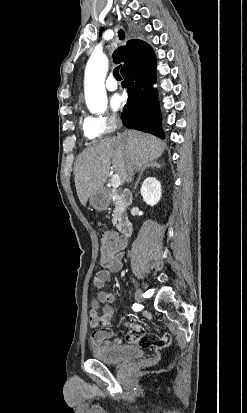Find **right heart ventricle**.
<instances>
[{
	"label": "right heart ventricle",
	"mask_w": 247,
	"mask_h": 413,
	"mask_svg": "<svg viewBox=\"0 0 247 413\" xmlns=\"http://www.w3.org/2000/svg\"><path fill=\"white\" fill-rule=\"evenodd\" d=\"M84 135H85V137H96V139L99 138V133H90L88 131V126L84 127Z\"/></svg>",
	"instance_id": "obj_1"
}]
</instances>
